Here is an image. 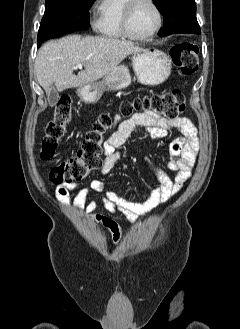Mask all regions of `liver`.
I'll return each mask as SVG.
<instances>
[{"mask_svg": "<svg viewBox=\"0 0 240 329\" xmlns=\"http://www.w3.org/2000/svg\"><path fill=\"white\" fill-rule=\"evenodd\" d=\"M131 41L108 37L69 35L49 41L38 51L35 74L49 96L51 86L58 91L95 82L115 69L128 55L141 51ZM77 64L85 69L73 74Z\"/></svg>", "mask_w": 240, "mask_h": 329, "instance_id": "1", "label": "liver"}]
</instances>
